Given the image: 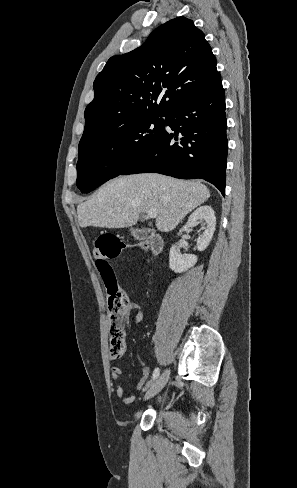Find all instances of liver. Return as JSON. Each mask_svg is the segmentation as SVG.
<instances>
[{"mask_svg": "<svg viewBox=\"0 0 297 488\" xmlns=\"http://www.w3.org/2000/svg\"><path fill=\"white\" fill-rule=\"evenodd\" d=\"M209 197L200 182L157 173L120 176L77 206L78 222L82 228H125L135 225L141 213L156 209V227L168 232Z\"/></svg>", "mask_w": 297, "mask_h": 488, "instance_id": "liver-1", "label": "liver"}]
</instances>
